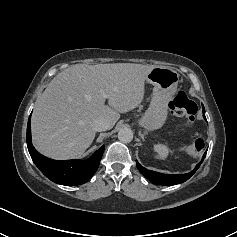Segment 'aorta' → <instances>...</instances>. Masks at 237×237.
Returning <instances> with one entry per match:
<instances>
[{
  "label": "aorta",
  "instance_id": "762f6f07",
  "mask_svg": "<svg viewBox=\"0 0 237 237\" xmlns=\"http://www.w3.org/2000/svg\"><path fill=\"white\" fill-rule=\"evenodd\" d=\"M118 139L122 143H129L133 139V132L129 128H121L118 132Z\"/></svg>",
  "mask_w": 237,
  "mask_h": 237
}]
</instances>
